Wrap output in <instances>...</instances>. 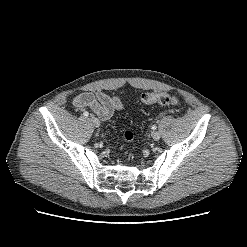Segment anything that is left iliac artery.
<instances>
[{"label": "left iliac artery", "instance_id": "obj_1", "mask_svg": "<svg viewBox=\"0 0 247 247\" xmlns=\"http://www.w3.org/2000/svg\"><path fill=\"white\" fill-rule=\"evenodd\" d=\"M152 129H153V130H156V129H157V126H156V125H153V126H152Z\"/></svg>", "mask_w": 247, "mask_h": 247}]
</instances>
